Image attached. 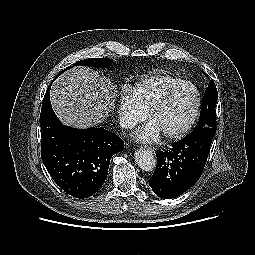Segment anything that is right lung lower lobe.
Segmentation results:
<instances>
[{
    "label": "right lung lower lobe",
    "instance_id": "right-lung-lower-lobe-1",
    "mask_svg": "<svg viewBox=\"0 0 255 255\" xmlns=\"http://www.w3.org/2000/svg\"><path fill=\"white\" fill-rule=\"evenodd\" d=\"M50 87L40 114L41 158L62 190L76 198H87L106 180L110 159L123 150L124 142L103 128L64 126L52 109Z\"/></svg>",
    "mask_w": 255,
    "mask_h": 255
}]
</instances>
